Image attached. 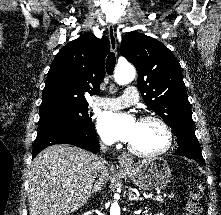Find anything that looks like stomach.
I'll use <instances>...</instances> for the list:
<instances>
[{"instance_id":"1","label":"stomach","mask_w":221,"mask_h":215,"mask_svg":"<svg viewBox=\"0 0 221 215\" xmlns=\"http://www.w3.org/2000/svg\"><path fill=\"white\" fill-rule=\"evenodd\" d=\"M123 171L136 186L147 191L164 188L171 176L169 165L162 158H152L124 166Z\"/></svg>"}]
</instances>
